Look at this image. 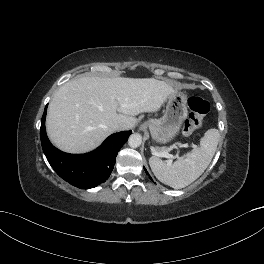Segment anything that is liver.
Returning a JSON list of instances; mask_svg holds the SVG:
<instances>
[{
	"instance_id": "liver-1",
	"label": "liver",
	"mask_w": 264,
	"mask_h": 264,
	"mask_svg": "<svg viewBox=\"0 0 264 264\" xmlns=\"http://www.w3.org/2000/svg\"><path fill=\"white\" fill-rule=\"evenodd\" d=\"M177 88L154 78L84 76L62 85L48 108L52 143L69 153L88 152L112 134L115 123L135 127L136 115L158 111Z\"/></svg>"
}]
</instances>
